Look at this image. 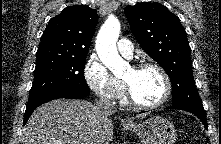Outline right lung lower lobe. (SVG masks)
<instances>
[{"instance_id":"98d812e1","label":"right lung lower lobe","mask_w":221,"mask_h":144,"mask_svg":"<svg viewBox=\"0 0 221 144\" xmlns=\"http://www.w3.org/2000/svg\"><path fill=\"white\" fill-rule=\"evenodd\" d=\"M89 95V91L76 90V89H62L51 92L44 97L40 98L37 102L32 105L26 106V111L24 115V124L27 122L28 118L32 114V112L40 105L49 102L54 99L59 98H74L80 99Z\"/></svg>"}]
</instances>
